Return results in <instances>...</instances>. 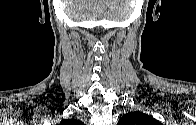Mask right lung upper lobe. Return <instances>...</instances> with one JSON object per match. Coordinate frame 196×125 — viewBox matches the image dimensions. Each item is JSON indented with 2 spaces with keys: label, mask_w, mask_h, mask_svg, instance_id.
<instances>
[{
  "label": "right lung upper lobe",
  "mask_w": 196,
  "mask_h": 125,
  "mask_svg": "<svg viewBox=\"0 0 196 125\" xmlns=\"http://www.w3.org/2000/svg\"><path fill=\"white\" fill-rule=\"evenodd\" d=\"M71 121H72L71 119H66V120H63V121L61 122V124H66V123L71 122Z\"/></svg>",
  "instance_id": "right-lung-upper-lobe-1"
}]
</instances>
